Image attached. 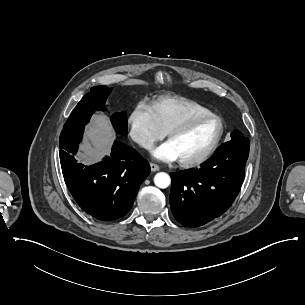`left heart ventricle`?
Instances as JSON below:
<instances>
[{"label": "left heart ventricle", "instance_id": "obj_1", "mask_svg": "<svg viewBox=\"0 0 305 305\" xmlns=\"http://www.w3.org/2000/svg\"><path fill=\"white\" fill-rule=\"evenodd\" d=\"M221 132V122L217 118L191 125L185 131L175 134L169 140L179 159H192L209 149Z\"/></svg>", "mask_w": 305, "mask_h": 305}]
</instances>
